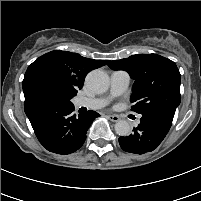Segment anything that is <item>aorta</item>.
<instances>
[{
	"instance_id": "762f6f07",
	"label": "aorta",
	"mask_w": 201,
	"mask_h": 201,
	"mask_svg": "<svg viewBox=\"0 0 201 201\" xmlns=\"http://www.w3.org/2000/svg\"><path fill=\"white\" fill-rule=\"evenodd\" d=\"M87 86L95 93H103L108 89L109 77L103 70H93L86 77ZM115 131L119 136H128L131 125L126 120H119L115 124Z\"/></svg>"
}]
</instances>
